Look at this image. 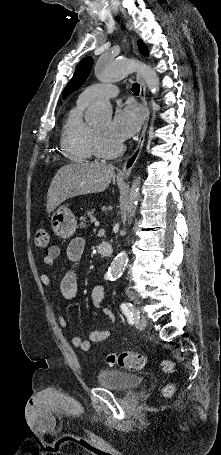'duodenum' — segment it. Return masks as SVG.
Instances as JSON below:
<instances>
[{
  "instance_id": "obj_1",
  "label": "duodenum",
  "mask_w": 221,
  "mask_h": 455,
  "mask_svg": "<svg viewBox=\"0 0 221 455\" xmlns=\"http://www.w3.org/2000/svg\"><path fill=\"white\" fill-rule=\"evenodd\" d=\"M98 252L102 256H110L112 253V246L108 242H100L97 246Z\"/></svg>"
}]
</instances>
